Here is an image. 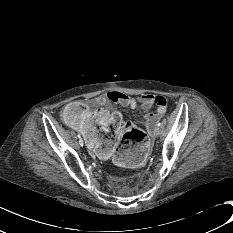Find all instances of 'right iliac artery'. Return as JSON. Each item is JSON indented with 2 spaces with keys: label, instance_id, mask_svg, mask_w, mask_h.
Here are the masks:
<instances>
[{
  "label": "right iliac artery",
  "instance_id": "1",
  "mask_svg": "<svg viewBox=\"0 0 233 233\" xmlns=\"http://www.w3.org/2000/svg\"><path fill=\"white\" fill-rule=\"evenodd\" d=\"M78 137L80 138L81 136H80V134H78ZM81 139V138H80Z\"/></svg>",
  "mask_w": 233,
  "mask_h": 233
}]
</instances>
